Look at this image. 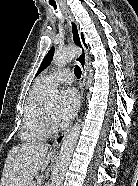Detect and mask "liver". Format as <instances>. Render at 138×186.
<instances>
[{
    "instance_id": "1",
    "label": "liver",
    "mask_w": 138,
    "mask_h": 186,
    "mask_svg": "<svg viewBox=\"0 0 138 186\" xmlns=\"http://www.w3.org/2000/svg\"><path fill=\"white\" fill-rule=\"evenodd\" d=\"M52 153L43 143L16 145L9 151L0 186H29L35 175L45 171Z\"/></svg>"
}]
</instances>
